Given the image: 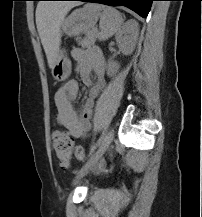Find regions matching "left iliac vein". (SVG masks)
<instances>
[{
    "label": "left iliac vein",
    "instance_id": "1",
    "mask_svg": "<svg viewBox=\"0 0 202 217\" xmlns=\"http://www.w3.org/2000/svg\"><path fill=\"white\" fill-rule=\"evenodd\" d=\"M114 138V132L112 129L108 130L102 140L99 148L90 155L88 161L83 165V167L79 170L76 175L75 182H78L81 178H83L101 159L103 154L106 152L110 144L112 143Z\"/></svg>",
    "mask_w": 202,
    "mask_h": 217
}]
</instances>
